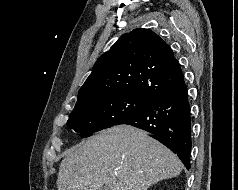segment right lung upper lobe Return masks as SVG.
<instances>
[{
	"label": "right lung upper lobe",
	"instance_id": "obj_1",
	"mask_svg": "<svg viewBox=\"0 0 238 190\" xmlns=\"http://www.w3.org/2000/svg\"><path fill=\"white\" fill-rule=\"evenodd\" d=\"M182 78L170 46L149 29H135L98 58L76 104L115 94L154 100Z\"/></svg>",
	"mask_w": 238,
	"mask_h": 190
}]
</instances>
